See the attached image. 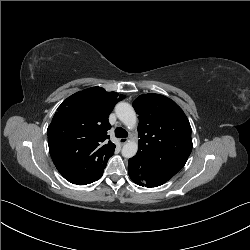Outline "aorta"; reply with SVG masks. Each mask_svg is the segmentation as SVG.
Returning a JSON list of instances; mask_svg holds the SVG:
<instances>
[{"mask_svg": "<svg viewBox=\"0 0 250 250\" xmlns=\"http://www.w3.org/2000/svg\"><path fill=\"white\" fill-rule=\"evenodd\" d=\"M115 112L118 119L128 127H134L137 122L134 108L126 102H119L115 106ZM138 144L134 140L127 141L122 148V156L125 158H132L136 155Z\"/></svg>", "mask_w": 250, "mask_h": 250, "instance_id": "obj_1", "label": "aorta"}]
</instances>
